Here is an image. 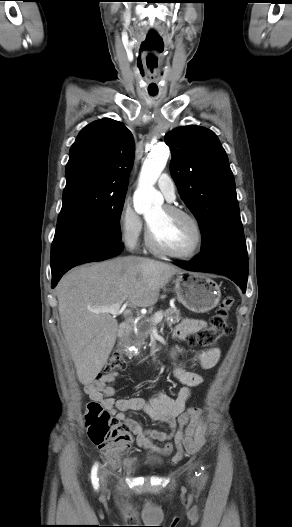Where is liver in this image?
<instances>
[{
  "label": "liver",
  "instance_id": "1",
  "mask_svg": "<svg viewBox=\"0 0 292 527\" xmlns=\"http://www.w3.org/2000/svg\"><path fill=\"white\" fill-rule=\"evenodd\" d=\"M181 269L157 260L126 256L76 267L56 287L61 328L78 380L92 383L115 345L118 322L109 313L94 310L125 299L149 307L160 289Z\"/></svg>",
  "mask_w": 292,
  "mask_h": 527
}]
</instances>
